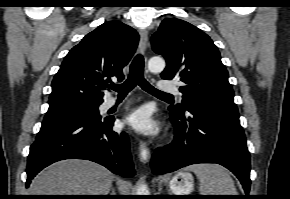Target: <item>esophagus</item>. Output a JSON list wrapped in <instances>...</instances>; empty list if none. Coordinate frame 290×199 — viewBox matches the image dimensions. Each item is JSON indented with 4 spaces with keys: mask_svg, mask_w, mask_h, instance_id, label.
Instances as JSON below:
<instances>
[{
    "mask_svg": "<svg viewBox=\"0 0 290 199\" xmlns=\"http://www.w3.org/2000/svg\"><path fill=\"white\" fill-rule=\"evenodd\" d=\"M140 51L142 54L145 53L148 45V33L146 30H140ZM139 159L142 163H147L150 159V150L145 142H139Z\"/></svg>",
    "mask_w": 290,
    "mask_h": 199,
    "instance_id": "obj_1",
    "label": "esophagus"
}]
</instances>
